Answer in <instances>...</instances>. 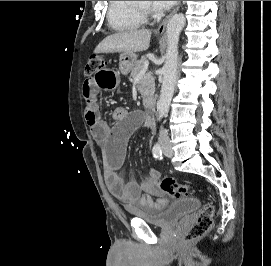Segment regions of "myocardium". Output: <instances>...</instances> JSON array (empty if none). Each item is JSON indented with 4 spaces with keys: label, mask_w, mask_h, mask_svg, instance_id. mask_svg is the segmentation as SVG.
<instances>
[{
    "label": "myocardium",
    "mask_w": 271,
    "mask_h": 266,
    "mask_svg": "<svg viewBox=\"0 0 271 266\" xmlns=\"http://www.w3.org/2000/svg\"><path fill=\"white\" fill-rule=\"evenodd\" d=\"M141 14L145 15L148 12V7H139V6H134Z\"/></svg>",
    "instance_id": "f54148a6"
}]
</instances>
